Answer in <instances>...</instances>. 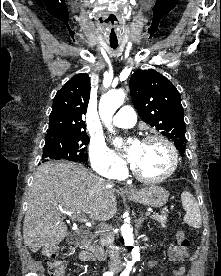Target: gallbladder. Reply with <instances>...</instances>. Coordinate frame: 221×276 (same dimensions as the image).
Returning a JSON list of instances; mask_svg holds the SVG:
<instances>
[{
	"instance_id": "gallbladder-1",
	"label": "gallbladder",
	"mask_w": 221,
	"mask_h": 276,
	"mask_svg": "<svg viewBox=\"0 0 221 276\" xmlns=\"http://www.w3.org/2000/svg\"><path fill=\"white\" fill-rule=\"evenodd\" d=\"M66 241H67L68 243H72V242H73V238H72V237H68V238L66 239Z\"/></svg>"
}]
</instances>
